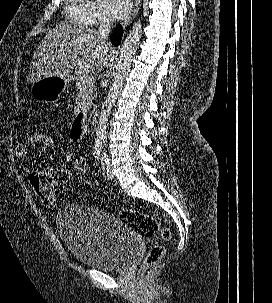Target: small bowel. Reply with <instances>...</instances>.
<instances>
[{
  "instance_id": "obj_1",
  "label": "small bowel",
  "mask_w": 272,
  "mask_h": 303,
  "mask_svg": "<svg viewBox=\"0 0 272 303\" xmlns=\"http://www.w3.org/2000/svg\"><path fill=\"white\" fill-rule=\"evenodd\" d=\"M71 139L78 141L75 133L72 131ZM29 146H37V135H30L24 142L15 146V155L17 158L25 156ZM21 171L27 176L31 186L37 194L48 192L50 189L66 184L71 176L67 168H51L41 171H32L27 165L20 166Z\"/></svg>"
}]
</instances>
